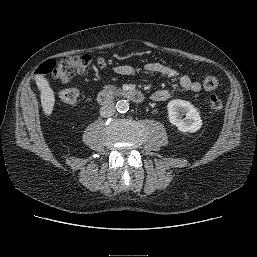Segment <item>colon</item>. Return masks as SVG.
Masks as SVG:
<instances>
[{"label": "colon", "instance_id": "colon-1", "mask_svg": "<svg viewBox=\"0 0 257 257\" xmlns=\"http://www.w3.org/2000/svg\"><path fill=\"white\" fill-rule=\"evenodd\" d=\"M91 58L88 55L66 56L59 60H47L42 63L38 69L40 74H51L61 82H69L77 73H85L90 69ZM203 86L207 91H214L218 87V80L214 76H206L203 80ZM62 102L74 104L79 98V92L76 89L69 88L62 90L59 94ZM209 105L213 111H220L223 102L218 95H211Z\"/></svg>", "mask_w": 257, "mask_h": 257}]
</instances>
